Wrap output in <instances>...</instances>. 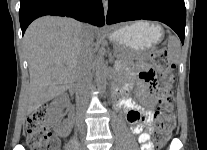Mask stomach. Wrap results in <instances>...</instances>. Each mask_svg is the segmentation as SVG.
Masks as SVG:
<instances>
[{
    "label": "stomach",
    "instance_id": "1",
    "mask_svg": "<svg viewBox=\"0 0 207 150\" xmlns=\"http://www.w3.org/2000/svg\"><path fill=\"white\" fill-rule=\"evenodd\" d=\"M163 28L157 22L136 21L117 26L110 34L123 61H130L144 54L163 38Z\"/></svg>",
    "mask_w": 207,
    "mask_h": 150
}]
</instances>
